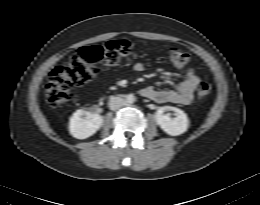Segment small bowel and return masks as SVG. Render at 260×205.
<instances>
[{
	"label": "small bowel",
	"instance_id": "c3829d8e",
	"mask_svg": "<svg viewBox=\"0 0 260 205\" xmlns=\"http://www.w3.org/2000/svg\"><path fill=\"white\" fill-rule=\"evenodd\" d=\"M134 69L143 71L144 65L140 62L136 63ZM182 73L184 79L178 84L176 90L156 89L148 86L140 90L141 96L161 104L189 105L193 100V93L200 79L193 68H184Z\"/></svg>",
	"mask_w": 260,
	"mask_h": 205
}]
</instances>
